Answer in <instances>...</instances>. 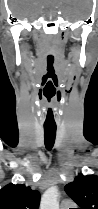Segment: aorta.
<instances>
[{
  "label": "aorta",
  "instance_id": "obj_1",
  "mask_svg": "<svg viewBox=\"0 0 98 209\" xmlns=\"http://www.w3.org/2000/svg\"><path fill=\"white\" fill-rule=\"evenodd\" d=\"M59 192L57 187L48 188L41 198L40 209H59Z\"/></svg>",
  "mask_w": 98,
  "mask_h": 209
}]
</instances>
